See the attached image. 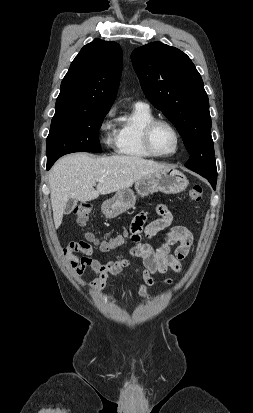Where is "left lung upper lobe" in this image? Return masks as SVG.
Here are the masks:
<instances>
[{
    "label": "left lung upper lobe",
    "mask_w": 253,
    "mask_h": 413,
    "mask_svg": "<svg viewBox=\"0 0 253 413\" xmlns=\"http://www.w3.org/2000/svg\"><path fill=\"white\" fill-rule=\"evenodd\" d=\"M131 59L145 96L179 131L190 154L185 166L217 175L208 96L190 58L175 47L152 42L135 49Z\"/></svg>",
    "instance_id": "1"
}]
</instances>
